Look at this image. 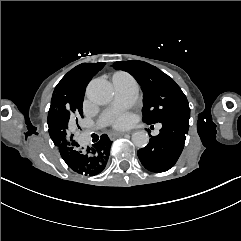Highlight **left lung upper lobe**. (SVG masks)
Here are the masks:
<instances>
[{
  "label": "left lung upper lobe",
  "mask_w": 241,
  "mask_h": 241,
  "mask_svg": "<svg viewBox=\"0 0 241 241\" xmlns=\"http://www.w3.org/2000/svg\"><path fill=\"white\" fill-rule=\"evenodd\" d=\"M113 67L130 73L141 86L145 123L190 115L187 98L180 87L157 67L139 60L115 62Z\"/></svg>",
  "instance_id": "obj_1"
}]
</instances>
